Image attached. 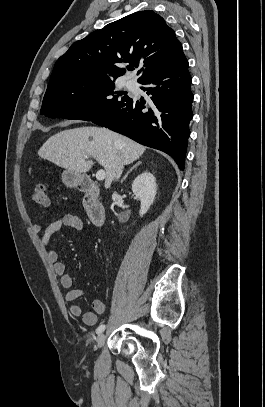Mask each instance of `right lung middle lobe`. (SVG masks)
<instances>
[{
    "mask_svg": "<svg viewBox=\"0 0 265 407\" xmlns=\"http://www.w3.org/2000/svg\"><path fill=\"white\" fill-rule=\"evenodd\" d=\"M130 99L112 80L58 81L48 85L41 114L92 121Z\"/></svg>",
    "mask_w": 265,
    "mask_h": 407,
    "instance_id": "1",
    "label": "right lung middle lobe"
}]
</instances>
